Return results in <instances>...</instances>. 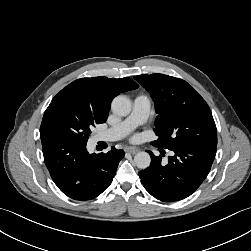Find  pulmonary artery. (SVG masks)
<instances>
[{"label": "pulmonary artery", "mask_w": 251, "mask_h": 251, "mask_svg": "<svg viewBox=\"0 0 251 251\" xmlns=\"http://www.w3.org/2000/svg\"><path fill=\"white\" fill-rule=\"evenodd\" d=\"M151 107V101L146 95H138L133 100L131 114L121 123L99 134V140L115 141L125 137L135 127L143 124Z\"/></svg>", "instance_id": "pulmonary-artery-1"}]
</instances>
